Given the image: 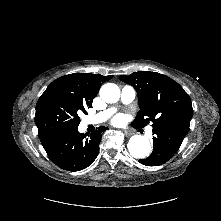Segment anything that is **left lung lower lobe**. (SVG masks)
Segmentation results:
<instances>
[{"label":"left lung lower lobe","mask_w":221,"mask_h":221,"mask_svg":"<svg viewBox=\"0 0 221 221\" xmlns=\"http://www.w3.org/2000/svg\"><path fill=\"white\" fill-rule=\"evenodd\" d=\"M153 151L139 162L146 166H159L166 163L180 148L185 133L168 128H153Z\"/></svg>","instance_id":"left-lung-lower-lobe-1"}]
</instances>
